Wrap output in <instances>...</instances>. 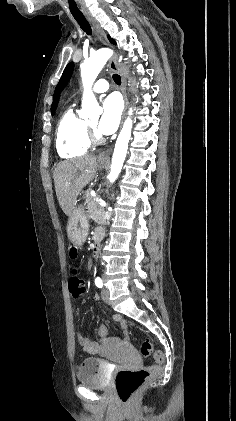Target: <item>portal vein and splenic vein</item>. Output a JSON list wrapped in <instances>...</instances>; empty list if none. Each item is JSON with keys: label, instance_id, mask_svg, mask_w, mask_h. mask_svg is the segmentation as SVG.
<instances>
[{"label": "portal vein and splenic vein", "instance_id": "obj_1", "mask_svg": "<svg viewBox=\"0 0 236 421\" xmlns=\"http://www.w3.org/2000/svg\"><path fill=\"white\" fill-rule=\"evenodd\" d=\"M94 200H98L99 204H101V206H105V208H108V205H106L105 200H102V198H98V196H95Z\"/></svg>", "mask_w": 236, "mask_h": 421}]
</instances>
